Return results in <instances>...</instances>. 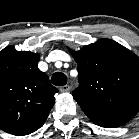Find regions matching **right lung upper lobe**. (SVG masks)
<instances>
[{"mask_svg": "<svg viewBox=\"0 0 139 139\" xmlns=\"http://www.w3.org/2000/svg\"><path fill=\"white\" fill-rule=\"evenodd\" d=\"M40 55L8 46L0 52V129L13 135L36 131L46 121L58 90L37 67Z\"/></svg>", "mask_w": 139, "mask_h": 139, "instance_id": "obj_1", "label": "right lung upper lobe"}]
</instances>
